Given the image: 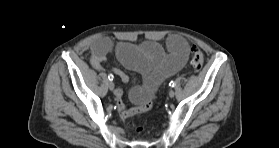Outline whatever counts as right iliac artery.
I'll return each instance as SVG.
<instances>
[{"label":"right iliac artery","mask_w":279,"mask_h":148,"mask_svg":"<svg viewBox=\"0 0 279 148\" xmlns=\"http://www.w3.org/2000/svg\"><path fill=\"white\" fill-rule=\"evenodd\" d=\"M113 78H114V76H113L112 74H109V75H108V79H109L110 81H112Z\"/></svg>","instance_id":"82829eb1"}]
</instances>
